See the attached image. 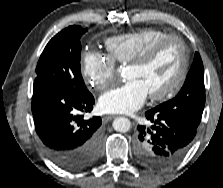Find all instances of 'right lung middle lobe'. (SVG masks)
I'll list each match as a JSON object with an SVG mask.
<instances>
[{
	"label": "right lung middle lobe",
	"instance_id": "dd1d6c3e",
	"mask_svg": "<svg viewBox=\"0 0 223 188\" xmlns=\"http://www.w3.org/2000/svg\"><path fill=\"white\" fill-rule=\"evenodd\" d=\"M86 31L72 25L49 41L39 58L34 84L65 89L80 96L90 93L80 70V38Z\"/></svg>",
	"mask_w": 223,
	"mask_h": 188
}]
</instances>
